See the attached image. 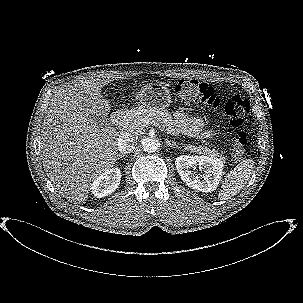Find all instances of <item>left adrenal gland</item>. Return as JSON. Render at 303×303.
Masks as SVG:
<instances>
[{
	"mask_svg": "<svg viewBox=\"0 0 303 303\" xmlns=\"http://www.w3.org/2000/svg\"><path fill=\"white\" fill-rule=\"evenodd\" d=\"M165 143L168 147H176V148H180V146H178L175 142H170L169 140L165 139Z\"/></svg>",
	"mask_w": 303,
	"mask_h": 303,
	"instance_id": "1",
	"label": "left adrenal gland"
}]
</instances>
